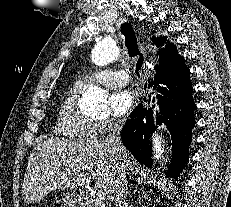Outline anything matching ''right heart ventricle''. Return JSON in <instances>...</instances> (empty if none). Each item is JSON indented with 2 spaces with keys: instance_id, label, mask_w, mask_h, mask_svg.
<instances>
[{
  "instance_id": "right-heart-ventricle-1",
  "label": "right heart ventricle",
  "mask_w": 231,
  "mask_h": 207,
  "mask_svg": "<svg viewBox=\"0 0 231 207\" xmlns=\"http://www.w3.org/2000/svg\"><path fill=\"white\" fill-rule=\"evenodd\" d=\"M81 91V88L74 85L62 101L57 114L56 132L70 140H85L96 136V122L78 107Z\"/></svg>"
}]
</instances>
